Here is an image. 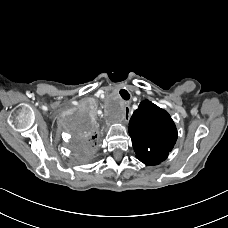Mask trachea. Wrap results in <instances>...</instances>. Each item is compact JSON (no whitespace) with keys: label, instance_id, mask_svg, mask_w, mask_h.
I'll use <instances>...</instances> for the list:
<instances>
[{"label":"trachea","instance_id":"trachea-1","mask_svg":"<svg viewBox=\"0 0 228 228\" xmlns=\"http://www.w3.org/2000/svg\"><path fill=\"white\" fill-rule=\"evenodd\" d=\"M120 95L124 100H129L130 99V94L128 93L127 90L121 89L120 90Z\"/></svg>","mask_w":228,"mask_h":228}]
</instances>
